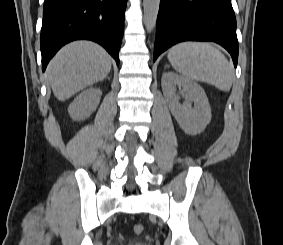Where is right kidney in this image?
<instances>
[{
  "mask_svg": "<svg viewBox=\"0 0 283 245\" xmlns=\"http://www.w3.org/2000/svg\"><path fill=\"white\" fill-rule=\"evenodd\" d=\"M102 92L99 88H89L80 93L68 107V113L75 121L88 118L99 105Z\"/></svg>",
  "mask_w": 283,
  "mask_h": 245,
  "instance_id": "right-kidney-1",
  "label": "right kidney"
}]
</instances>
